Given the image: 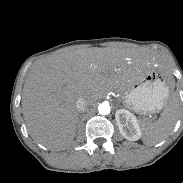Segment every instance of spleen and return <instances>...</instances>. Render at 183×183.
<instances>
[{"label":"spleen","instance_id":"obj_1","mask_svg":"<svg viewBox=\"0 0 183 183\" xmlns=\"http://www.w3.org/2000/svg\"><path fill=\"white\" fill-rule=\"evenodd\" d=\"M146 92L142 91L137 95H145ZM178 115V101L172 97L168 105L164 108L160 118L153 122H143V142L148 146H153L163 141L173 130Z\"/></svg>","mask_w":183,"mask_h":183}]
</instances>
